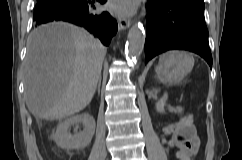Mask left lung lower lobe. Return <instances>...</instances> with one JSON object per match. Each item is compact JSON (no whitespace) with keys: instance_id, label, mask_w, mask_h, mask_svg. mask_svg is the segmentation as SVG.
<instances>
[{"instance_id":"1","label":"left lung lower lobe","mask_w":242,"mask_h":160,"mask_svg":"<svg viewBox=\"0 0 242 160\" xmlns=\"http://www.w3.org/2000/svg\"><path fill=\"white\" fill-rule=\"evenodd\" d=\"M145 61L173 49L188 50L203 57L212 67L204 10L148 0Z\"/></svg>"}]
</instances>
